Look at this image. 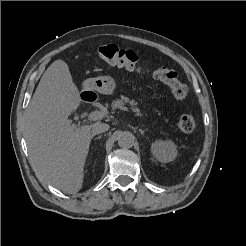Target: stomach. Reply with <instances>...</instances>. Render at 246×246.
I'll use <instances>...</instances> for the list:
<instances>
[{
    "label": "stomach",
    "mask_w": 246,
    "mask_h": 246,
    "mask_svg": "<svg viewBox=\"0 0 246 246\" xmlns=\"http://www.w3.org/2000/svg\"><path fill=\"white\" fill-rule=\"evenodd\" d=\"M83 91L99 92L101 94H112L116 88V81L111 76H99L89 78L83 82Z\"/></svg>",
    "instance_id": "0dacf381"
}]
</instances>
